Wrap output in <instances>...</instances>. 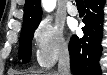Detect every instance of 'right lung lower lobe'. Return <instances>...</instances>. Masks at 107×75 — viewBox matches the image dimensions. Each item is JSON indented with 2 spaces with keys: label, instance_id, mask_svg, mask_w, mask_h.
Masks as SVG:
<instances>
[{
  "label": "right lung lower lobe",
  "instance_id": "98d812e1",
  "mask_svg": "<svg viewBox=\"0 0 107 75\" xmlns=\"http://www.w3.org/2000/svg\"><path fill=\"white\" fill-rule=\"evenodd\" d=\"M105 0H85L88 8L83 22L84 36L71 37L69 43L70 66L73 75H101L99 58L103 28V7Z\"/></svg>",
  "mask_w": 107,
  "mask_h": 75
}]
</instances>
